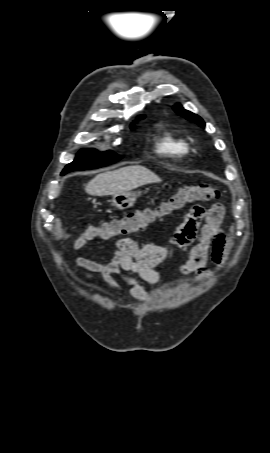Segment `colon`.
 I'll use <instances>...</instances> for the list:
<instances>
[{
  "label": "colon",
  "instance_id": "obj_1",
  "mask_svg": "<svg viewBox=\"0 0 270 453\" xmlns=\"http://www.w3.org/2000/svg\"><path fill=\"white\" fill-rule=\"evenodd\" d=\"M219 196L220 191L209 184L183 185L179 187L176 193L153 208L129 213L119 219L98 226H90L84 234L87 236H100L104 239L134 234L155 220L168 216L188 204L210 202L216 200Z\"/></svg>",
  "mask_w": 270,
  "mask_h": 453
}]
</instances>
